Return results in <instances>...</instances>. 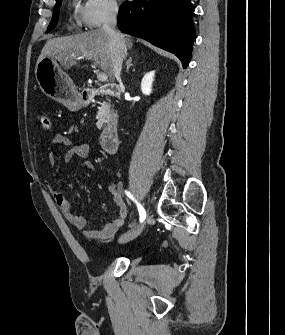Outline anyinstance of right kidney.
<instances>
[{
	"label": "right kidney",
	"instance_id": "right-kidney-1",
	"mask_svg": "<svg viewBox=\"0 0 285 335\" xmlns=\"http://www.w3.org/2000/svg\"><path fill=\"white\" fill-rule=\"evenodd\" d=\"M155 72H147L145 76L142 78L141 82V92L145 94V96H150L152 92V84L154 82Z\"/></svg>",
	"mask_w": 285,
	"mask_h": 335
}]
</instances>
